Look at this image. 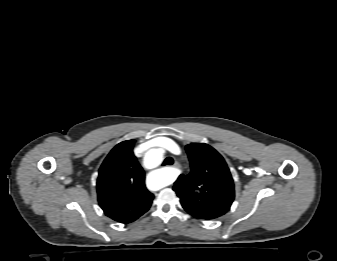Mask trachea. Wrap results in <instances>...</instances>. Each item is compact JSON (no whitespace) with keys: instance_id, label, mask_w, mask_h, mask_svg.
Segmentation results:
<instances>
[{"instance_id":"obj_1","label":"trachea","mask_w":337,"mask_h":261,"mask_svg":"<svg viewBox=\"0 0 337 261\" xmlns=\"http://www.w3.org/2000/svg\"><path fill=\"white\" fill-rule=\"evenodd\" d=\"M173 163H174L173 158L167 157V158L164 160L163 165H172Z\"/></svg>"}]
</instances>
